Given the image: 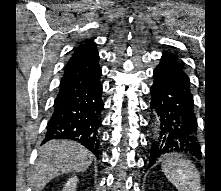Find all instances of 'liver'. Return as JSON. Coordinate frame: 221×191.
<instances>
[{
	"mask_svg": "<svg viewBox=\"0 0 221 191\" xmlns=\"http://www.w3.org/2000/svg\"><path fill=\"white\" fill-rule=\"evenodd\" d=\"M30 178L34 191H41L47 183L60 174L84 172L92 163L93 154L71 140H53L40 148Z\"/></svg>",
	"mask_w": 221,
	"mask_h": 191,
	"instance_id": "1",
	"label": "liver"
}]
</instances>
